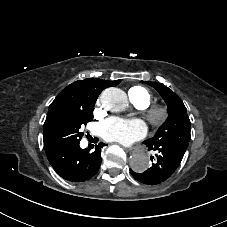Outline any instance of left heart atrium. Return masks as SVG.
I'll use <instances>...</instances> for the list:
<instances>
[{"instance_id": "39dd6f15", "label": "left heart atrium", "mask_w": 227, "mask_h": 227, "mask_svg": "<svg viewBox=\"0 0 227 227\" xmlns=\"http://www.w3.org/2000/svg\"><path fill=\"white\" fill-rule=\"evenodd\" d=\"M99 131L101 136L109 142L129 145L146 136L147 126L139 118L121 119L109 117L100 124Z\"/></svg>"}]
</instances>
